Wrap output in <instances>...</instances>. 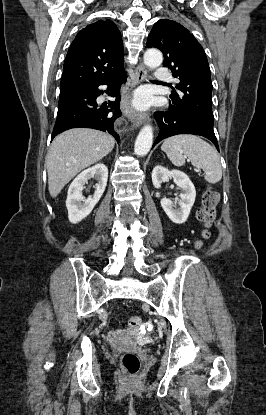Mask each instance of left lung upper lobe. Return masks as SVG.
<instances>
[{"label":"left lung upper lobe","instance_id":"5c2ea615","mask_svg":"<svg viewBox=\"0 0 266 415\" xmlns=\"http://www.w3.org/2000/svg\"><path fill=\"white\" fill-rule=\"evenodd\" d=\"M147 47L160 49L163 65L180 80L177 91L170 95V105L177 107L185 118L213 130L210 68L199 42L181 24L161 19L154 24Z\"/></svg>","mask_w":266,"mask_h":415}]
</instances>
